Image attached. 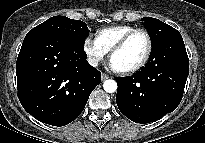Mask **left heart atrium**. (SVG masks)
Wrapping results in <instances>:
<instances>
[{"label":"left heart atrium","instance_id":"obj_1","mask_svg":"<svg viewBox=\"0 0 205 143\" xmlns=\"http://www.w3.org/2000/svg\"><path fill=\"white\" fill-rule=\"evenodd\" d=\"M110 68L114 71H122V69L111 59Z\"/></svg>","mask_w":205,"mask_h":143}]
</instances>
